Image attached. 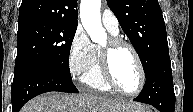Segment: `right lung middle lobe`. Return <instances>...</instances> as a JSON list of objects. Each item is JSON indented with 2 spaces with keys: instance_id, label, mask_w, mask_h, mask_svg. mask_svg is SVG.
<instances>
[{
  "instance_id": "1",
  "label": "right lung middle lobe",
  "mask_w": 193,
  "mask_h": 112,
  "mask_svg": "<svg viewBox=\"0 0 193 112\" xmlns=\"http://www.w3.org/2000/svg\"><path fill=\"white\" fill-rule=\"evenodd\" d=\"M77 26L41 23L18 29L14 74L46 66L71 78L69 54Z\"/></svg>"
}]
</instances>
